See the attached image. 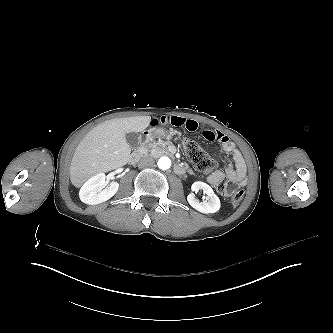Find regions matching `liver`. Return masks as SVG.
Listing matches in <instances>:
<instances>
[{
  "mask_svg": "<svg viewBox=\"0 0 333 333\" xmlns=\"http://www.w3.org/2000/svg\"><path fill=\"white\" fill-rule=\"evenodd\" d=\"M150 116H134L104 121L90 130L78 144L70 165V180L81 188L91 177L125 166L130 161L128 133H143Z\"/></svg>",
  "mask_w": 333,
  "mask_h": 333,
  "instance_id": "obj_1",
  "label": "liver"
}]
</instances>
